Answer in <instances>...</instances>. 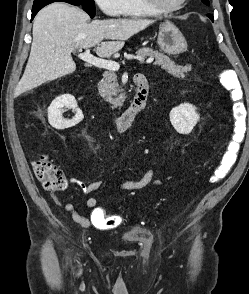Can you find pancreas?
<instances>
[{
    "instance_id": "1",
    "label": "pancreas",
    "mask_w": 249,
    "mask_h": 294,
    "mask_svg": "<svg viewBox=\"0 0 249 294\" xmlns=\"http://www.w3.org/2000/svg\"><path fill=\"white\" fill-rule=\"evenodd\" d=\"M136 54L140 57H152L155 58V65L160 66L163 70L167 71L169 74L184 78L186 73L191 71V66H181L176 65L168 56L164 53L155 51L150 48H141ZM103 79L99 82V93L106 99L109 103L113 105L114 108L121 107L125 99L123 90L119 86L117 75L115 71L108 70L103 73Z\"/></svg>"
}]
</instances>
